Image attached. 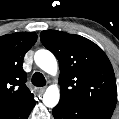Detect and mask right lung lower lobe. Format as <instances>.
Instances as JSON below:
<instances>
[{"label":"right lung lower lobe","mask_w":119,"mask_h":119,"mask_svg":"<svg viewBox=\"0 0 119 119\" xmlns=\"http://www.w3.org/2000/svg\"><path fill=\"white\" fill-rule=\"evenodd\" d=\"M36 101L34 97L18 105H13L0 110V119H27Z\"/></svg>","instance_id":"right-lung-lower-lobe-1"}]
</instances>
